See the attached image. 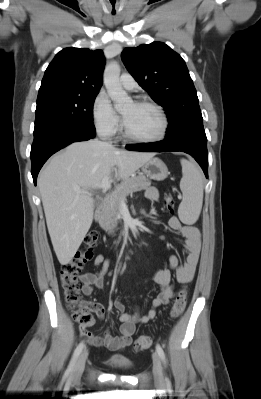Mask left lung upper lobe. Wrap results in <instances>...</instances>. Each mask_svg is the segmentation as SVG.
Segmentation results:
<instances>
[{
    "instance_id": "5c2ea615",
    "label": "left lung upper lobe",
    "mask_w": 261,
    "mask_h": 399,
    "mask_svg": "<svg viewBox=\"0 0 261 399\" xmlns=\"http://www.w3.org/2000/svg\"><path fill=\"white\" fill-rule=\"evenodd\" d=\"M122 61L139 85L165 109L166 138L203 128L197 92L182 57L162 42L125 48Z\"/></svg>"
}]
</instances>
